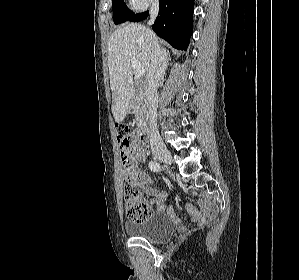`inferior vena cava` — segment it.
Returning a JSON list of instances; mask_svg holds the SVG:
<instances>
[{
	"label": "inferior vena cava",
	"mask_w": 299,
	"mask_h": 280,
	"mask_svg": "<svg viewBox=\"0 0 299 280\" xmlns=\"http://www.w3.org/2000/svg\"><path fill=\"white\" fill-rule=\"evenodd\" d=\"M158 14V3H153L150 10L149 25ZM166 51L161 49L157 41L152 38V54L151 62L147 70L146 82H145V98L146 106L148 109L149 125H150V142L151 145L161 143V138L157 129V106H158V94L157 88L163 81L166 72Z\"/></svg>",
	"instance_id": "1"
}]
</instances>
